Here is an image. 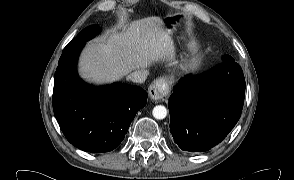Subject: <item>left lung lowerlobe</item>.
I'll return each mask as SVG.
<instances>
[{"label": "left lung lower lobe", "instance_id": "0a47b994", "mask_svg": "<svg viewBox=\"0 0 294 180\" xmlns=\"http://www.w3.org/2000/svg\"><path fill=\"white\" fill-rule=\"evenodd\" d=\"M244 95L242 69L229 55L208 73L182 78L168 103L174 142L190 152L219 144L239 120Z\"/></svg>", "mask_w": 294, "mask_h": 180}]
</instances>
